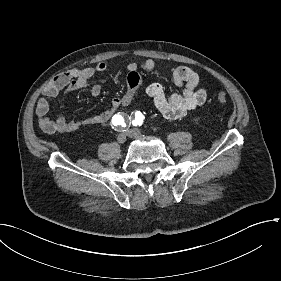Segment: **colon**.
Returning a JSON list of instances; mask_svg holds the SVG:
<instances>
[{"label":"colon","instance_id":"1","mask_svg":"<svg viewBox=\"0 0 281 281\" xmlns=\"http://www.w3.org/2000/svg\"><path fill=\"white\" fill-rule=\"evenodd\" d=\"M216 102L219 104H225L228 101L227 95L220 93L215 98Z\"/></svg>","mask_w":281,"mask_h":281}]
</instances>
